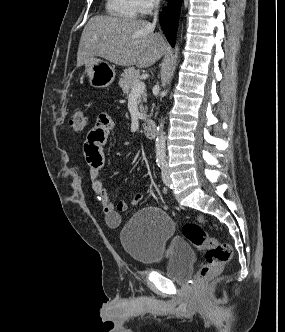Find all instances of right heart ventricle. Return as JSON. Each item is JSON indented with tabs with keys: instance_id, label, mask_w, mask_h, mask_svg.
Segmentation results:
<instances>
[{
	"instance_id": "e07e8e85",
	"label": "right heart ventricle",
	"mask_w": 285,
	"mask_h": 332,
	"mask_svg": "<svg viewBox=\"0 0 285 332\" xmlns=\"http://www.w3.org/2000/svg\"><path fill=\"white\" fill-rule=\"evenodd\" d=\"M105 8L110 16L121 19H134L138 14L135 0H106Z\"/></svg>"
}]
</instances>
